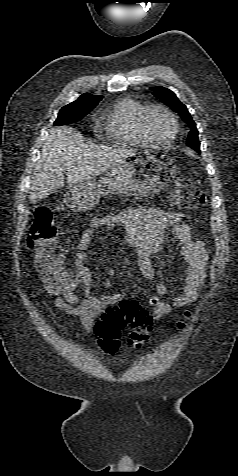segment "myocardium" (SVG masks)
Returning a JSON list of instances; mask_svg holds the SVG:
<instances>
[{
	"instance_id": "obj_1",
	"label": "myocardium",
	"mask_w": 238,
	"mask_h": 476,
	"mask_svg": "<svg viewBox=\"0 0 238 476\" xmlns=\"http://www.w3.org/2000/svg\"><path fill=\"white\" fill-rule=\"evenodd\" d=\"M153 110L163 111L172 120L173 125H174V131H173L172 136L169 139H167V140H158L155 137H153V135L150 133V131L148 129V125H147V119H148L149 114ZM139 127H140V130H141L143 136L150 143L157 144V145H167V144L172 143L176 139V137L179 133V120L176 117V115L167 106H165L163 104H159V103H154V104H150V105L145 106V108L140 113Z\"/></svg>"
}]
</instances>
